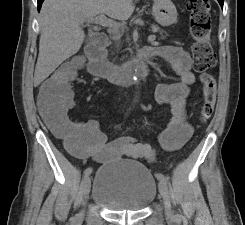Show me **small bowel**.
Here are the masks:
<instances>
[{"label":"small bowel","instance_id":"c3829d8e","mask_svg":"<svg viewBox=\"0 0 245 225\" xmlns=\"http://www.w3.org/2000/svg\"><path fill=\"white\" fill-rule=\"evenodd\" d=\"M145 52H151L152 58L166 61L170 70L179 78L177 83L157 86L155 93V100L159 104L169 105L172 113L171 120L158 137V141L164 150L176 151L186 144L193 133V126L187 120L185 110L190 87L195 82V75L191 69L192 59L185 49L177 46L159 45L143 53ZM77 64L81 66L83 61L78 60ZM68 66V61H64L59 67L67 69ZM37 103L46 119H52L61 125H68L76 129L75 145L70 151L78 159H91L101 164L120 158L146 159L149 162L154 160L152 146L143 140L129 137L108 139L96 120L67 121L63 114L74 107L72 89L69 95L61 101L60 106L54 107L52 101L43 95L41 88H38Z\"/></svg>","mask_w":245,"mask_h":225}]
</instances>
